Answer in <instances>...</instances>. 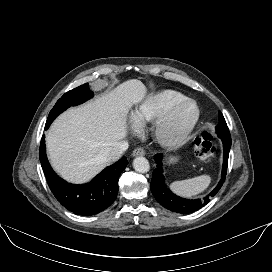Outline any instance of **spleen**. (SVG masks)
<instances>
[{
	"instance_id": "obj_1",
	"label": "spleen",
	"mask_w": 272,
	"mask_h": 272,
	"mask_svg": "<svg viewBox=\"0 0 272 272\" xmlns=\"http://www.w3.org/2000/svg\"><path fill=\"white\" fill-rule=\"evenodd\" d=\"M210 182L211 177L209 175H201L191 179L175 181L170 185V187L177 195L192 197L207 189Z\"/></svg>"
}]
</instances>
